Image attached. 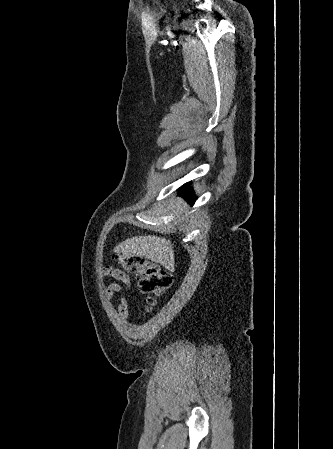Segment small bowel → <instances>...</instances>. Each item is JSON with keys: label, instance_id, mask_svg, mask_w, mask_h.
<instances>
[{"label": "small bowel", "instance_id": "obj_1", "mask_svg": "<svg viewBox=\"0 0 333 449\" xmlns=\"http://www.w3.org/2000/svg\"><path fill=\"white\" fill-rule=\"evenodd\" d=\"M106 277H112L122 283V285L118 283L108 285L105 290V296L108 301H111L116 294H120L117 313L122 320H125L128 317V303L124 296V292L130 287V277L123 270L113 266H106L104 268L102 279H105Z\"/></svg>", "mask_w": 333, "mask_h": 449}]
</instances>
